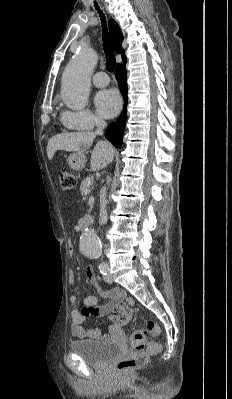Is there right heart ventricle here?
Segmentation results:
<instances>
[{"mask_svg":"<svg viewBox=\"0 0 232 399\" xmlns=\"http://www.w3.org/2000/svg\"><path fill=\"white\" fill-rule=\"evenodd\" d=\"M65 126H66L67 130H69V131H79V130H81V129L73 127V126H68V125H65Z\"/></svg>","mask_w":232,"mask_h":399,"instance_id":"right-heart-ventricle-1","label":"right heart ventricle"}]
</instances>
